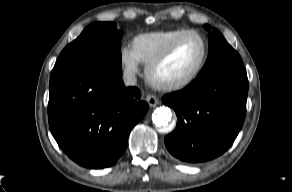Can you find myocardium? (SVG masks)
Returning a JSON list of instances; mask_svg holds the SVG:
<instances>
[{"label":"myocardium","mask_w":292,"mask_h":192,"mask_svg":"<svg viewBox=\"0 0 292 192\" xmlns=\"http://www.w3.org/2000/svg\"><path fill=\"white\" fill-rule=\"evenodd\" d=\"M197 36L203 45V54L197 67L187 77L174 81L163 83L155 79L154 72L175 50L177 45L187 36ZM209 57V44L205 36L196 30H187L175 37L153 60H151L145 69V75L150 84L163 91H175L183 89L192 84L204 70Z\"/></svg>","instance_id":"1"}]
</instances>
